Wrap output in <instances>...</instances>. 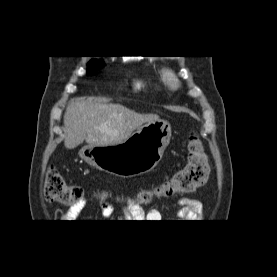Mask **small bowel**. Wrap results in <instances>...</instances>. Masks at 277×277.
I'll list each match as a JSON object with an SVG mask.
<instances>
[{
    "label": "small bowel",
    "instance_id": "c3829d8e",
    "mask_svg": "<svg viewBox=\"0 0 277 277\" xmlns=\"http://www.w3.org/2000/svg\"><path fill=\"white\" fill-rule=\"evenodd\" d=\"M86 204L87 199L84 198L77 204L71 206L68 210L61 211V222H73V220H76ZM98 204L104 217H110L113 215L114 209L108 202L99 201ZM178 204L181 208L177 211L176 216L180 220L193 222L194 220L200 219L203 215V204L197 199L181 198L178 200ZM121 218L124 220H137L138 222H142L143 220H146L147 222H160V220H162V214L157 209H151L144 212L141 209L128 206L124 208Z\"/></svg>",
    "mask_w": 277,
    "mask_h": 277
}]
</instances>
